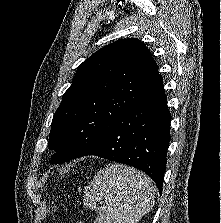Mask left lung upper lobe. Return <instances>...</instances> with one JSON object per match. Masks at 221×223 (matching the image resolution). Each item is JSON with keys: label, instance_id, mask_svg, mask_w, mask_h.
<instances>
[{"label": "left lung upper lobe", "instance_id": "5c2ea615", "mask_svg": "<svg viewBox=\"0 0 221 223\" xmlns=\"http://www.w3.org/2000/svg\"><path fill=\"white\" fill-rule=\"evenodd\" d=\"M153 57L140 40L121 39L85 60L65 92L51 124L52 164L75 159L158 78Z\"/></svg>", "mask_w": 221, "mask_h": 223}]
</instances>
